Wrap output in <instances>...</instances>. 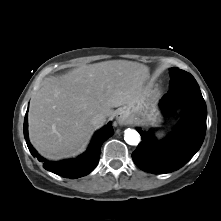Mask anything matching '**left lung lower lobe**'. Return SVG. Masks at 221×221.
Here are the masks:
<instances>
[{
  "instance_id": "1",
  "label": "left lung lower lobe",
  "mask_w": 221,
  "mask_h": 221,
  "mask_svg": "<svg viewBox=\"0 0 221 221\" xmlns=\"http://www.w3.org/2000/svg\"><path fill=\"white\" fill-rule=\"evenodd\" d=\"M176 103L183 108V118L167 138L158 141L138 130L142 141L132 153V159L145 172H173L184 166L203 143L207 109L194 77L179 80L170 86L168 93L160 101V107L167 111Z\"/></svg>"
}]
</instances>
